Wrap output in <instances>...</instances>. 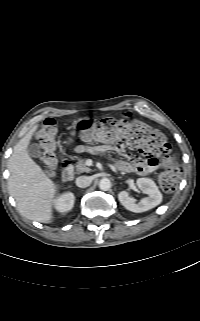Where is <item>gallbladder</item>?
Segmentation results:
<instances>
[{
	"mask_svg": "<svg viewBox=\"0 0 200 321\" xmlns=\"http://www.w3.org/2000/svg\"><path fill=\"white\" fill-rule=\"evenodd\" d=\"M28 153L33 158H38L41 156V149L38 144H31L28 147Z\"/></svg>",
	"mask_w": 200,
	"mask_h": 321,
	"instance_id": "bac80fb5",
	"label": "gallbladder"
}]
</instances>
